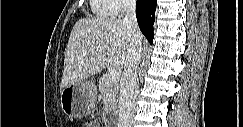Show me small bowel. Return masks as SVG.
<instances>
[{"label":"small bowel","mask_w":243,"mask_h":127,"mask_svg":"<svg viewBox=\"0 0 243 127\" xmlns=\"http://www.w3.org/2000/svg\"><path fill=\"white\" fill-rule=\"evenodd\" d=\"M88 127H99V124L95 121H92L88 124Z\"/></svg>","instance_id":"1"}]
</instances>
